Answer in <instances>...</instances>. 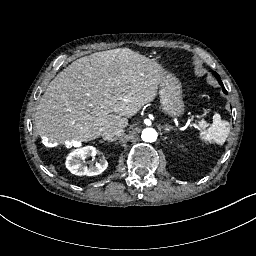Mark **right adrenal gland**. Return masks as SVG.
<instances>
[{"label":"right adrenal gland","instance_id":"right-adrenal-gland-1","mask_svg":"<svg viewBox=\"0 0 256 256\" xmlns=\"http://www.w3.org/2000/svg\"><path fill=\"white\" fill-rule=\"evenodd\" d=\"M112 141H107L106 144H109ZM100 143H104V141H100Z\"/></svg>","mask_w":256,"mask_h":256}]
</instances>
